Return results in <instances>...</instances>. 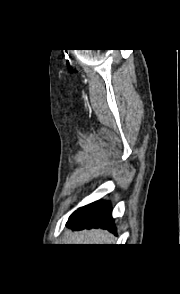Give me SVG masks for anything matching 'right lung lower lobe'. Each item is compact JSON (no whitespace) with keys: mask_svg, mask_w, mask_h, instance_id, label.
<instances>
[{"mask_svg":"<svg viewBox=\"0 0 180 294\" xmlns=\"http://www.w3.org/2000/svg\"><path fill=\"white\" fill-rule=\"evenodd\" d=\"M67 226L76 230L90 228L115 229L109 203L98 201L79 208L70 217Z\"/></svg>","mask_w":180,"mask_h":294,"instance_id":"1","label":"right lung lower lobe"}]
</instances>
